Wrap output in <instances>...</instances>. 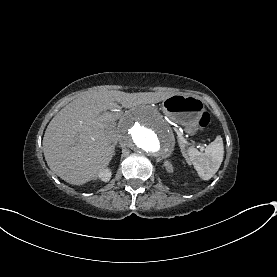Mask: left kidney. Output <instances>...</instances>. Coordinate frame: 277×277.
<instances>
[{
    "mask_svg": "<svg viewBox=\"0 0 277 277\" xmlns=\"http://www.w3.org/2000/svg\"><path fill=\"white\" fill-rule=\"evenodd\" d=\"M163 165L167 172H169V173L173 172V165L170 161H168V160L164 161Z\"/></svg>",
    "mask_w": 277,
    "mask_h": 277,
    "instance_id": "5707ae66",
    "label": "left kidney"
}]
</instances>
